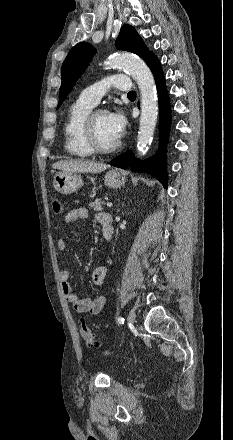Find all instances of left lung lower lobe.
Here are the masks:
<instances>
[{"mask_svg": "<svg viewBox=\"0 0 233 440\" xmlns=\"http://www.w3.org/2000/svg\"><path fill=\"white\" fill-rule=\"evenodd\" d=\"M147 65L151 69L155 82L157 85L159 108H160V135L161 140L165 143L168 137L171 110L168 100V94L165 86V79L159 60L153 55L148 61ZM110 165L122 169L131 168L134 172H144L157 178L163 183L164 187L167 184V172L165 164V147L162 144L157 156L147 161H140L135 159L133 154L128 150L126 153L118 156L110 162Z\"/></svg>", "mask_w": 233, "mask_h": 440, "instance_id": "obj_1", "label": "left lung lower lobe"}]
</instances>
